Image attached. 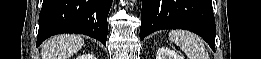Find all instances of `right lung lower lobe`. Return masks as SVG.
<instances>
[{
  "mask_svg": "<svg viewBox=\"0 0 261 59\" xmlns=\"http://www.w3.org/2000/svg\"><path fill=\"white\" fill-rule=\"evenodd\" d=\"M111 5L112 0H43L37 46L62 33L85 34L106 46Z\"/></svg>",
  "mask_w": 261,
  "mask_h": 59,
  "instance_id": "1",
  "label": "right lung lower lobe"
}]
</instances>
